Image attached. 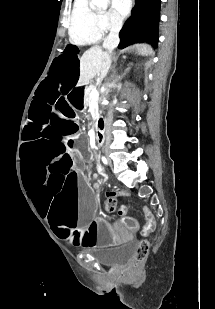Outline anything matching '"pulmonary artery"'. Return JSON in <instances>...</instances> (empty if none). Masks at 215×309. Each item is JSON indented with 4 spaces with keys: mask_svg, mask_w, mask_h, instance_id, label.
<instances>
[{
    "mask_svg": "<svg viewBox=\"0 0 215 309\" xmlns=\"http://www.w3.org/2000/svg\"><path fill=\"white\" fill-rule=\"evenodd\" d=\"M89 1L78 0L75 3L74 16H87V9L89 8Z\"/></svg>",
    "mask_w": 215,
    "mask_h": 309,
    "instance_id": "e3ab8cb5",
    "label": "pulmonary artery"
}]
</instances>
